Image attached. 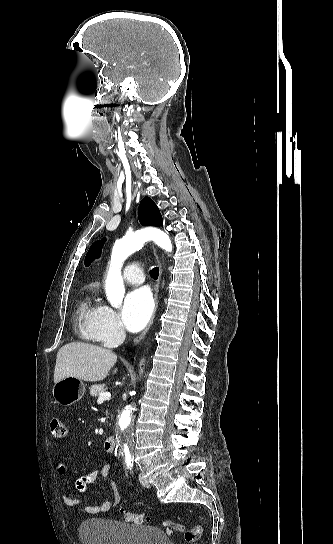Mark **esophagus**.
Listing matches in <instances>:
<instances>
[{
	"mask_svg": "<svg viewBox=\"0 0 333 544\" xmlns=\"http://www.w3.org/2000/svg\"><path fill=\"white\" fill-rule=\"evenodd\" d=\"M153 252H154V256H155V258L157 260L158 266H159V277H158V279L156 281V284H155V287H154V302H155L154 311H153V315H152L149 323L145 327V329L134 339V341H133L134 345H137L145 337V335L147 334L148 330L150 329V327H151V325L153 323V320L155 318V314H156V311H157V307H158L159 286H160V281H161L163 268H162L161 261H160V259L158 257V254L156 252V249L154 247H153Z\"/></svg>",
	"mask_w": 333,
	"mask_h": 544,
	"instance_id": "obj_1",
	"label": "esophagus"
}]
</instances>
